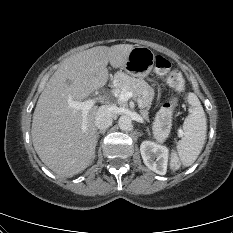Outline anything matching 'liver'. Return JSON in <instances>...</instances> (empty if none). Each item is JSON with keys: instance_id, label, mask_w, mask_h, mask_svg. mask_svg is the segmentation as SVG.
I'll return each mask as SVG.
<instances>
[{"instance_id": "obj_1", "label": "liver", "mask_w": 233, "mask_h": 233, "mask_svg": "<svg viewBox=\"0 0 233 233\" xmlns=\"http://www.w3.org/2000/svg\"><path fill=\"white\" fill-rule=\"evenodd\" d=\"M131 44L97 46L66 58L41 93L32 120V142L41 161L60 177L84 171L95 158L97 106L88 110L69 107L68 99L82 101L103 87L107 65L124 66Z\"/></svg>"}]
</instances>
